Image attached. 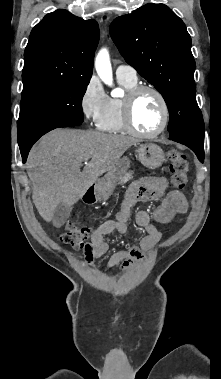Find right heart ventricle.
I'll use <instances>...</instances> for the list:
<instances>
[{"label": "right heart ventricle", "instance_id": "1", "mask_svg": "<svg viewBox=\"0 0 221 379\" xmlns=\"http://www.w3.org/2000/svg\"><path fill=\"white\" fill-rule=\"evenodd\" d=\"M118 81L127 91L137 85V81L120 78ZM97 126L101 131L109 133L127 132L123 120V98L109 97L105 113Z\"/></svg>", "mask_w": 221, "mask_h": 379}]
</instances>
